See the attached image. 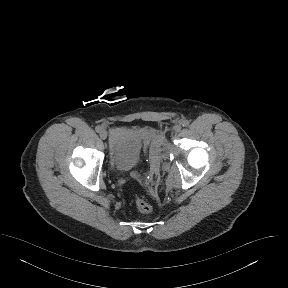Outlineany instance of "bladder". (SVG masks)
Masks as SVG:
<instances>
[{"label": "bladder", "mask_w": 288, "mask_h": 288, "mask_svg": "<svg viewBox=\"0 0 288 288\" xmlns=\"http://www.w3.org/2000/svg\"><path fill=\"white\" fill-rule=\"evenodd\" d=\"M108 150L111 166L122 172L134 169L143 155L151 156L156 152L151 134L144 129L133 127L112 129Z\"/></svg>", "instance_id": "obj_1"}]
</instances>
